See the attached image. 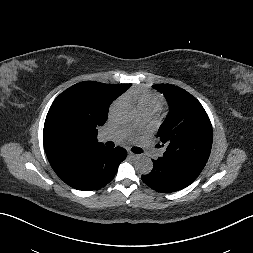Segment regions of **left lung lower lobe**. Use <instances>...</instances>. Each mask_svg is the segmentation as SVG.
Returning a JSON list of instances; mask_svg holds the SVG:
<instances>
[{"label": "left lung lower lobe", "mask_w": 253, "mask_h": 253, "mask_svg": "<svg viewBox=\"0 0 253 253\" xmlns=\"http://www.w3.org/2000/svg\"><path fill=\"white\" fill-rule=\"evenodd\" d=\"M200 173L159 157L153 160L152 171L141 179L158 192H174L189 186Z\"/></svg>", "instance_id": "left-lung-lower-lobe-1"}]
</instances>
